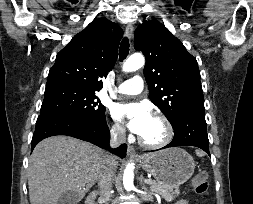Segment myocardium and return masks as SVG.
<instances>
[{
  "mask_svg": "<svg viewBox=\"0 0 253 204\" xmlns=\"http://www.w3.org/2000/svg\"><path fill=\"white\" fill-rule=\"evenodd\" d=\"M152 117L159 120L163 124L165 128L164 138L159 142L150 143V142L145 141L142 137L138 136V142L142 147L147 148V149H160L167 146L172 141L173 136H174V129L171 122L164 115L160 113H154Z\"/></svg>",
  "mask_w": 253,
  "mask_h": 204,
  "instance_id": "f54148a6",
  "label": "myocardium"
}]
</instances>
